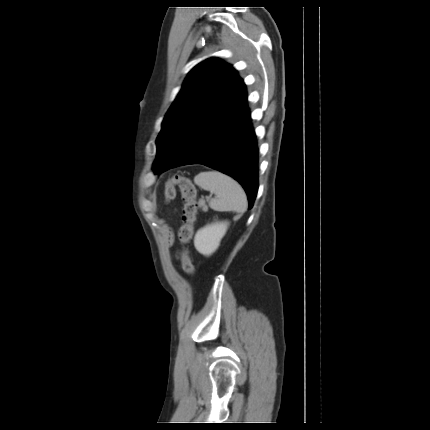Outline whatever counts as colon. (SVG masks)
<instances>
[{"label":"colon","mask_w":430,"mask_h":430,"mask_svg":"<svg viewBox=\"0 0 430 430\" xmlns=\"http://www.w3.org/2000/svg\"><path fill=\"white\" fill-rule=\"evenodd\" d=\"M176 188L180 189L182 196L183 224L180 228L179 238L183 244H187L192 238L194 224L197 219V192L194 184L188 177L177 174L173 176L166 184L165 199L167 202H171L175 199ZM180 259L184 272L189 276H193L195 274V267L191 258V254L186 247H183L180 254Z\"/></svg>","instance_id":"5ec220e1"}]
</instances>
